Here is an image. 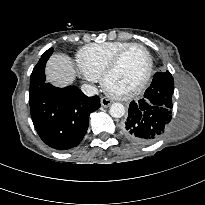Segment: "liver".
Here are the masks:
<instances>
[{
  "label": "liver",
  "instance_id": "liver-1",
  "mask_svg": "<svg viewBox=\"0 0 205 205\" xmlns=\"http://www.w3.org/2000/svg\"><path fill=\"white\" fill-rule=\"evenodd\" d=\"M75 68L72 60L63 54L52 55L46 65L47 81L55 86L64 87L73 83Z\"/></svg>",
  "mask_w": 205,
  "mask_h": 205
}]
</instances>
